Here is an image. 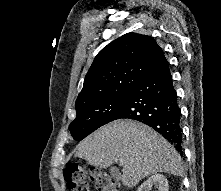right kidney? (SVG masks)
<instances>
[{
  "mask_svg": "<svg viewBox=\"0 0 221 191\" xmlns=\"http://www.w3.org/2000/svg\"><path fill=\"white\" fill-rule=\"evenodd\" d=\"M153 186L158 191H169L168 181L162 174H155L149 177L140 185L137 191H151Z\"/></svg>",
  "mask_w": 221,
  "mask_h": 191,
  "instance_id": "1",
  "label": "right kidney"
}]
</instances>
